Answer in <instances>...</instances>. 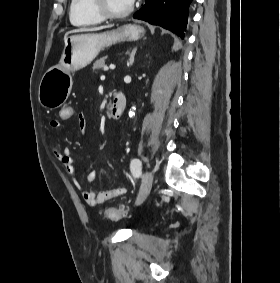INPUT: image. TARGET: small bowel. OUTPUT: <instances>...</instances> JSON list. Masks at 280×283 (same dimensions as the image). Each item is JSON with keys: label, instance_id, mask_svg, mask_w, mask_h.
<instances>
[{"label": "small bowel", "instance_id": "obj_1", "mask_svg": "<svg viewBox=\"0 0 280 283\" xmlns=\"http://www.w3.org/2000/svg\"><path fill=\"white\" fill-rule=\"evenodd\" d=\"M75 112H73V116ZM72 116V117H73ZM77 122L81 128L84 130L86 127V117L82 113L76 114ZM60 119H53L50 121V127L52 129H58L60 127ZM55 158L61 163L63 168L65 169L66 173L72 178L75 186L81 190L82 197L84 201L90 207H98L104 202L113 199L115 197L124 195L126 193V189L122 187L112 188L107 190H102L99 192H95L92 188L90 189H83L81 180L78 178L76 169H75V160L72 156L71 150L68 147L63 149L55 148L54 151ZM96 173L94 171L88 172L84 179L89 184H92L95 181Z\"/></svg>", "mask_w": 280, "mask_h": 283}]
</instances>
